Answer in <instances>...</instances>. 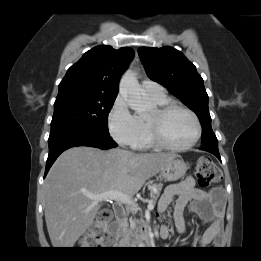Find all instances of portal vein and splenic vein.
I'll list each match as a JSON object with an SVG mask.
<instances>
[{
  "label": "portal vein and splenic vein",
  "instance_id": "obj_1",
  "mask_svg": "<svg viewBox=\"0 0 261 261\" xmlns=\"http://www.w3.org/2000/svg\"><path fill=\"white\" fill-rule=\"evenodd\" d=\"M87 197L92 199V200H95V201L116 200V201L128 204L130 206L131 205L134 206V202L129 195L124 194V193L117 191V190L103 192V193H100V194H87ZM153 209H154V203H153V201H149L148 210H153Z\"/></svg>",
  "mask_w": 261,
  "mask_h": 261
}]
</instances>
